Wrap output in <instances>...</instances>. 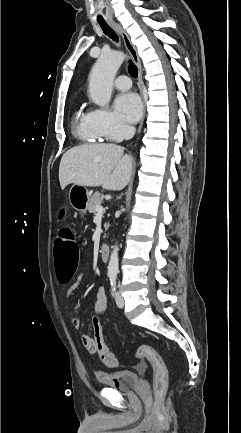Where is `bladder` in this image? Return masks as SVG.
<instances>
[{
	"mask_svg": "<svg viewBox=\"0 0 241 433\" xmlns=\"http://www.w3.org/2000/svg\"><path fill=\"white\" fill-rule=\"evenodd\" d=\"M96 379L102 386L122 393L134 391L140 383L139 376L134 371L100 372L97 374Z\"/></svg>",
	"mask_w": 241,
	"mask_h": 433,
	"instance_id": "bladder-1",
	"label": "bladder"
}]
</instances>
